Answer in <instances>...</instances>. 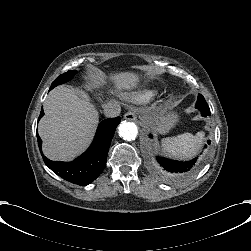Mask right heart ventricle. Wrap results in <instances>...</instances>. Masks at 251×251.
<instances>
[{
    "label": "right heart ventricle",
    "instance_id": "obj_1",
    "mask_svg": "<svg viewBox=\"0 0 251 251\" xmlns=\"http://www.w3.org/2000/svg\"><path fill=\"white\" fill-rule=\"evenodd\" d=\"M157 93V89L154 85H142L135 91L129 94L128 98L131 102L137 104H145L151 101Z\"/></svg>",
    "mask_w": 251,
    "mask_h": 251
}]
</instances>
